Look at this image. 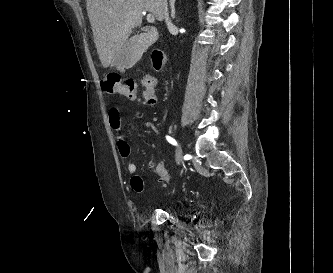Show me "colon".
Instances as JSON below:
<instances>
[{"label":"colon","mask_w":333,"mask_h":273,"mask_svg":"<svg viewBox=\"0 0 333 273\" xmlns=\"http://www.w3.org/2000/svg\"><path fill=\"white\" fill-rule=\"evenodd\" d=\"M151 61L155 70H162L166 65V55L162 51H153ZM101 87L109 94L123 95L129 99L137 95L136 83L133 79H124L117 73L109 74L101 81ZM152 172L158 177V181L167 186L170 183L171 175L162 161H155L151 164Z\"/></svg>","instance_id":"5ec220e1"}]
</instances>
